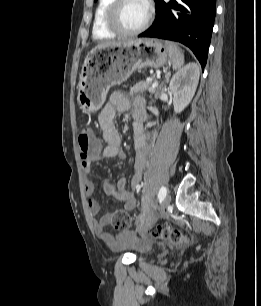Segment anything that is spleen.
Wrapping results in <instances>:
<instances>
[{"mask_svg": "<svg viewBox=\"0 0 261 306\" xmlns=\"http://www.w3.org/2000/svg\"><path fill=\"white\" fill-rule=\"evenodd\" d=\"M166 48L174 70L180 69L184 64V55L181 49L173 42L166 41Z\"/></svg>", "mask_w": 261, "mask_h": 306, "instance_id": "1", "label": "spleen"}]
</instances>
